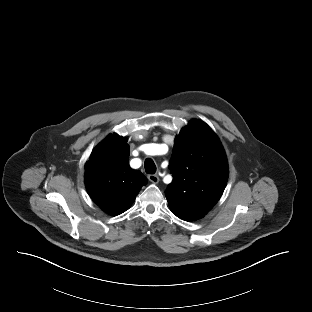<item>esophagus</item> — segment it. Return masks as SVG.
<instances>
[{
    "mask_svg": "<svg viewBox=\"0 0 312 312\" xmlns=\"http://www.w3.org/2000/svg\"><path fill=\"white\" fill-rule=\"evenodd\" d=\"M148 179L149 181H151L152 183H158L159 181V177L156 174H150L148 175Z\"/></svg>",
    "mask_w": 312,
    "mask_h": 312,
    "instance_id": "obj_1",
    "label": "esophagus"
}]
</instances>
